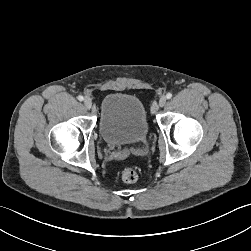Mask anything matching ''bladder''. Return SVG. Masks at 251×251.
Listing matches in <instances>:
<instances>
[{
	"label": "bladder",
	"mask_w": 251,
	"mask_h": 251,
	"mask_svg": "<svg viewBox=\"0 0 251 251\" xmlns=\"http://www.w3.org/2000/svg\"><path fill=\"white\" fill-rule=\"evenodd\" d=\"M99 132L110 145L143 141L149 133L145 107L136 96L114 92L101 103Z\"/></svg>",
	"instance_id": "obj_1"
}]
</instances>
